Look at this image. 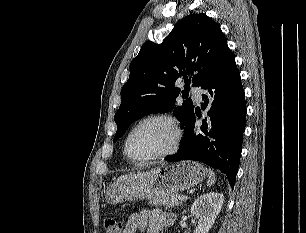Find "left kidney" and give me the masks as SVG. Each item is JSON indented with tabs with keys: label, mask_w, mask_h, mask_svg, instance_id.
<instances>
[{
	"label": "left kidney",
	"mask_w": 306,
	"mask_h": 233,
	"mask_svg": "<svg viewBox=\"0 0 306 233\" xmlns=\"http://www.w3.org/2000/svg\"><path fill=\"white\" fill-rule=\"evenodd\" d=\"M224 196L218 192L203 194L191 207V214L198 219L194 233H208L223 206Z\"/></svg>",
	"instance_id": "5707ae66"
}]
</instances>
